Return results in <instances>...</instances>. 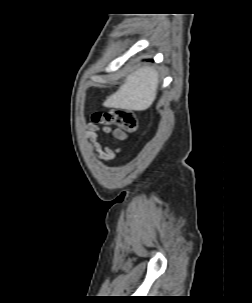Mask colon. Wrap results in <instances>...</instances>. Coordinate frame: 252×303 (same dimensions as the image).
Returning <instances> with one entry per match:
<instances>
[{
	"label": "colon",
	"instance_id": "obj_1",
	"mask_svg": "<svg viewBox=\"0 0 252 303\" xmlns=\"http://www.w3.org/2000/svg\"><path fill=\"white\" fill-rule=\"evenodd\" d=\"M92 120L97 125L116 126L129 134H134L139 129L138 119L131 110L97 111L93 114Z\"/></svg>",
	"mask_w": 252,
	"mask_h": 303
}]
</instances>
